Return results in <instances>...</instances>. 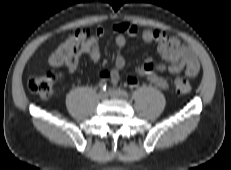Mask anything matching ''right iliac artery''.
I'll return each instance as SVG.
<instances>
[{
  "label": "right iliac artery",
  "instance_id": "right-iliac-artery-1",
  "mask_svg": "<svg viewBox=\"0 0 231 170\" xmlns=\"http://www.w3.org/2000/svg\"><path fill=\"white\" fill-rule=\"evenodd\" d=\"M99 87L103 90V91H106L107 89V83L105 81H101L99 83Z\"/></svg>",
  "mask_w": 231,
  "mask_h": 170
}]
</instances>
